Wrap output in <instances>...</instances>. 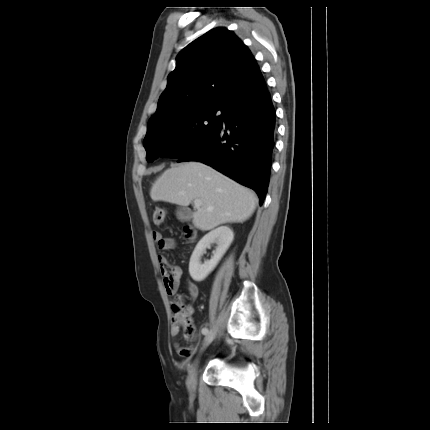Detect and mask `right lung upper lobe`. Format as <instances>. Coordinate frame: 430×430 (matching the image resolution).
<instances>
[{
  "instance_id": "right-lung-upper-lobe-1",
  "label": "right lung upper lobe",
  "mask_w": 430,
  "mask_h": 430,
  "mask_svg": "<svg viewBox=\"0 0 430 430\" xmlns=\"http://www.w3.org/2000/svg\"><path fill=\"white\" fill-rule=\"evenodd\" d=\"M262 79L248 47L232 31L213 29L178 54L148 127L200 106L221 107Z\"/></svg>"
}]
</instances>
